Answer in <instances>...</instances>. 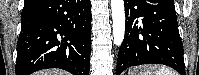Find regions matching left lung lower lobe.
Masks as SVG:
<instances>
[{
	"instance_id": "left-lung-lower-lobe-1",
	"label": "left lung lower lobe",
	"mask_w": 199,
	"mask_h": 75,
	"mask_svg": "<svg viewBox=\"0 0 199 75\" xmlns=\"http://www.w3.org/2000/svg\"><path fill=\"white\" fill-rule=\"evenodd\" d=\"M126 28L116 75L142 64H164L185 75L173 0H125Z\"/></svg>"
}]
</instances>
